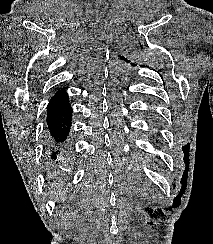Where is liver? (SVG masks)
<instances>
[{"label":"liver","mask_w":213,"mask_h":244,"mask_svg":"<svg viewBox=\"0 0 213 244\" xmlns=\"http://www.w3.org/2000/svg\"><path fill=\"white\" fill-rule=\"evenodd\" d=\"M54 187H56V189L53 191V195H57L59 194L60 197V202L63 201L64 197H63V193H64V184H54Z\"/></svg>","instance_id":"6515ba94"}]
</instances>
